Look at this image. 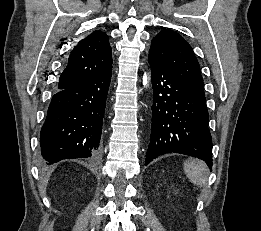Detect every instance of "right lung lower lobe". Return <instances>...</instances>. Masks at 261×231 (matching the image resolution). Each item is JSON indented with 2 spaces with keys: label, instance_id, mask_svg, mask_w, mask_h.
Instances as JSON below:
<instances>
[{
  "label": "right lung lower lobe",
  "instance_id": "obj_1",
  "mask_svg": "<svg viewBox=\"0 0 261 231\" xmlns=\"http://www.w3.org/2000/svg\"><path fill=\"white\" fill-rule=\"evenodd\" d=\"M111 74L112 67L53 95L40 134L45 164L99 154Z\"/></svg>",
  "mask_w": 261,
  "mask_h": 231
}]
</instances>
